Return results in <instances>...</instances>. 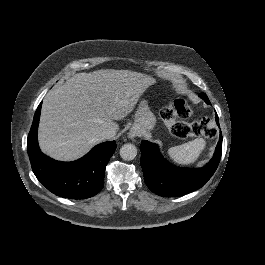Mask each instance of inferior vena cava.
<instances>
[{
	"instance_id": "inferior-vena-cava-1",
	"label": "inferior vena cava",
	"mask_w": 265,
	"mask_h": 265,
	"mask_svg": "<svg viewBox=\"0 0 265 265\" xmlns=\"http://www.w3.org/2000/svg\"><path fill=\"white\" fill-rule=\"evenodd\" d=\"M102 135L105 139H111L116 135V131L113 127H108L103 131Z\"/></svg>"
}]
</instances>
